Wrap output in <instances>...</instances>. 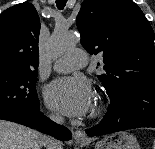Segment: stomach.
<instances>
[{
    "mask_svg": "<svg viewBox=\"0 0 155 149\" xmlns=\"http://www.w3.org/2000/svg\"><path fill=\"white\" fill-rule=\"evenodd\" d=\"M95 149H140L137 139L122 131L105 136L96 143Z\"/></svg>",
    "mask_w": 155,
    "mask_h": 149,
    "instance_id": "1",
    "label": "stomach"
}]
</instances>
